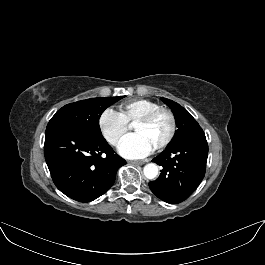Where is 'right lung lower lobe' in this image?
Instances as JSON below:
<instances>
[{
    "label": "right lung lower lobe",
    "instance_id": "obj_1",
    "mask_svg": "<svg viewBox=\"0 0 265 265\" xmlns=\"http://www.w3.org/2000/svg\"><path fill=\"white\" fill-rule=\"evenodd\" d=\"M44 155L56 187L79 202L103 195L126 164L103 136L68 127L46 129Z\"/></svg>",
    "mask_w": 265,
    "mask_h": 265
}]
</instances>
